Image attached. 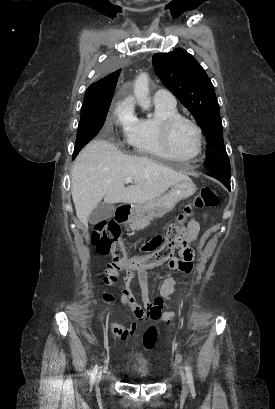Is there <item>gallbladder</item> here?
Instances as JSON below:
<instances>
[{
  "instance_id": "bac80fb5",
  "label": "gallbladder",
  "mask_w": 275,
  "mask_h": 409,
  "mask_svg": "<svg viewBox=\"0 0 275 409\" xmlns=\"http://www.w3.org/2000/svg\"><path fill=\"white\" fill-rule=\"evenodd\" d=\"M114 211L115 207L112 205V202H99L96 209L90 213L88 221L91 225H97V223H101V221L111 219Z\"/></svg>"
}]
</instances>
